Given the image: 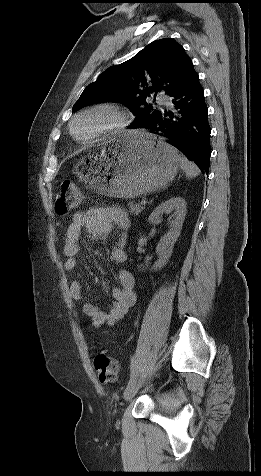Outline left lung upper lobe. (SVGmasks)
Masks as SVG:
<instances>
[{
	"mask_svg": "<svg viewBox=\"0 0 261 476\" xmlns=\"http://www.w3.org/2000/svg\"><path fill=\"white\" fill-rule=\"evenodd\" d=\"M193 66L184 48L173 39L151 42L133 58L109 67L89 84L73 107V111L97 102H120L135 115L129 127L140 128L158 116L160 110L148 105L152 93H174Z\"/></svg>",
	"mask_w": 261,
	"mask_h": 476,
	"instance_id": "obj_1",
	"label": "left lung upper lobe"
}]
</instances>
